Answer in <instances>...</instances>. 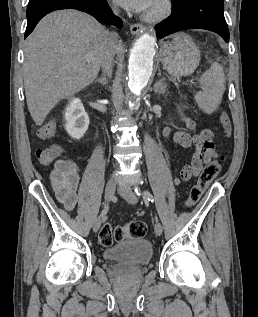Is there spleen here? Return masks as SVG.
<instances>
[{
    "mask_svg": "<svg viewBox=\"0 0 258 317\" xmlns=\"http://www.w3.org/2000/svg\"><path fill=\"white\" fill-rule=\"evenodd\" d=\"M203 90L195 94V100L203 112L211 114L218 108L225 90L224 72L221 64L213 62L200 76Z\"/></svg>",
    "mask_w": 258,
    "mask_h": 317,
    "instance_id": "1",
    "label": "spleen"
}]
</instances>
